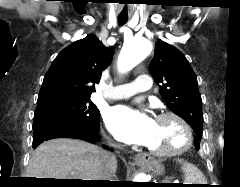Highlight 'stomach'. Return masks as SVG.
<instances>
[{
  "label": "stomach",
  "mask_w": 240,
  "mask_h": 187,
  "mask_svg": "<svg viewBox=\"0 0 240 187\" xmlns=\"http://www.w3.org/2000/svg\"><path fill=\"white\" fill-rule=\"evenodd\" d=\"M150 166L157 174H160L164 171V166L158 162H152Z\"/></svg>",
  "instance_id": "obj_1"
}]
</instances>
